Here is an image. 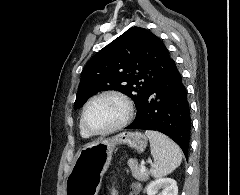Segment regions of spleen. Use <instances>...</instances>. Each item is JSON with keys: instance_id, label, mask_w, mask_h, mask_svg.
Instances as JSON below:
<instances>
[{"instance_id": "obj_1", "label": "spleen", "mask_w": 240, "mask_h": 195, "mask_svg": "<svg viewBox=\"0 0 240 195\" xmlns=\"http://www.w3.org/2000/svg\"><path fill=\"white\" fill-rule=\"evenodd\" d=\"M145 135L149 137L151 153L154 157V163L150 167L153 177H163L180 165L181 149L173 139L160 131H152V129H146Z\"/></svg>"}]
</instances>
